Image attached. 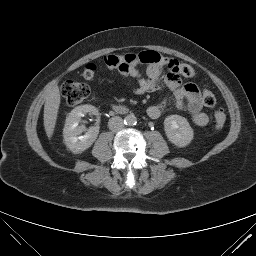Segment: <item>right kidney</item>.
<instances>
[{
	"label": "right kidney",
	"mask_w": 256,
	"mask_h": 256,
	"mask_svg": "<svg viewBox=\"0 0 256 256\" xmlns=\"http://www.w3.org/2000/svg\"><path fill=\"white\" fill-rule=\"evenodd\" d=\"M97 115L98 110L92 105H81L75 107L66 117L63 129L65 145L74 154H79L91 147L99 134V126L90 127L85 135L80 134L85 131L84 126H79L81 117L85 114Z\"/></svg>",
	"instance_id": "obj_1"
}]
</instances>
